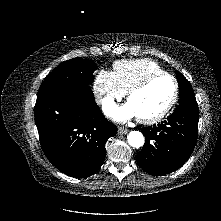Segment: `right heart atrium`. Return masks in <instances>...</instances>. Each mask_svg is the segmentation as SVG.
<instances>
[{
	"instance_id": "d8ad5b80",
	"label": "right heart atrium",
	"mask_w": 221,
	"mask_h": 221,
	"mask_svg": "<svg viewBox=\"0 0 221 221\" xmlns=\"http://www.w3.org/2000/svg\"><path fill=\"white\" fill-rule=\"evenodd\" d=\"M93 88L97 101L105 106L124 95L113 72L106 70L97 73Z\"/></svg>"
}]
</instances>
